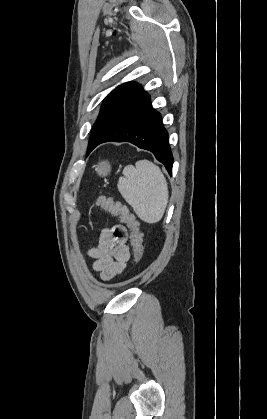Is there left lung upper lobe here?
<instances>
[{
    "mask_svg": "<svg viewBox=\"0 0 267 419\" xmlns=\"http://www.w3.org/2000/svg\"><path fill=\"white\" fill-rule=\"evenodd\" d=\"M142 91V87L135 82H127L118 86L105 99L98 119L92 128L89 146L102 138L113 126L114 112L122 111L128 107Z\"/></svg>",
    "mask_w": 267,
    "mask_h": 419,
    "instance_id": "5c2ea615",
    "label": "left lung upper lobe"
}]
</instances>
